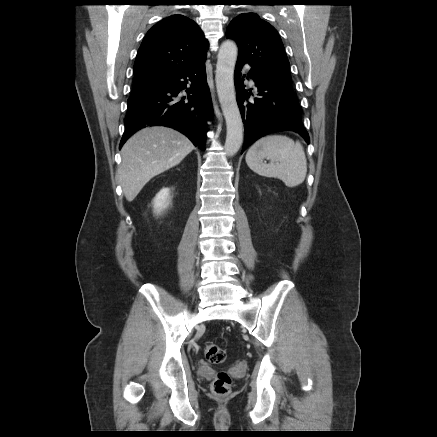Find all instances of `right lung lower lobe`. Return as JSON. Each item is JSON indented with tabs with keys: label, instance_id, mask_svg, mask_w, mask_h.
Returning a JSON list of instances; mask_svg holds the SVG:
<instances>
[{
	"label": "right lung lower lobe",
	"instance_id": "right-lung-lower-lobe-1",
	"mask_svg": "<svg viewBox=\"0 0 437 437\" xmlns=\"http://www.w3.org/2000/svg\"><path fill=\"white\" fill-rule=\"evenodd\" d=\"M204 61L129 97L120 148L134 132L146 125H164L180 131L195 146L205 150L206 121L212 113V103Z\"/></svg>",
	"mask_w": 437,
	"mask_h": 437
}]
</instances>
